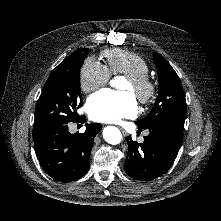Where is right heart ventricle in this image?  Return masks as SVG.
Segmentation results:
<instances>
[{
  "instance_id": "right-heart-ventricle-1",
  "label": "right heart ventricle",
  "mask_w": 221,
  "mask_h": 221,
  "mask_svg": "<svg viewBox=\"0 0 221 221\" xmlns=\"http://www.w3.org/2000/svg\"><path fill=\"white\" fill-rule=\"evenodd\" d=\"M102 56L110 75H147L150 70L148 62L142 56L129 50L109 49Z\"/></svg>"
}]
</instances>
